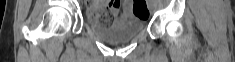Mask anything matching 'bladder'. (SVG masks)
<instances>
[{
    "label": "bladder",
    "instance_id": "obj_1",
    "mask_svg": "<svg viewBox=\"0 0 235 62\" xmlns=\"http://www.w3.org/2000/svg\"><path fill=\"white\" fill-rule=\"evenodd\" d=\"M93 34L102 41L111 44L128 42L137 37L144 29L141 18H116L110 25L104 26L100 23H89Z\"/></svg>",
    "mask_w": 235,
    "mask_h": 62
}]
</instances>
